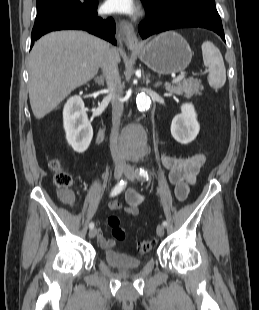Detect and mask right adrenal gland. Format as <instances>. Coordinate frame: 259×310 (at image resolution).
Here are the masks:
<instances>
[{
  "mask_svg": "<svg viewBox=\"0 0 259 310\" xmlns=\"http://www.w3.org/2000/svg\"><path fill=\"white\" fill-rule=\"evenodd\" d=\"M95 82L98 83V85L100 86H104V77L103 76L96 77Z\"/></svg>",
  "mask_w": 259,
  "mask_h": 310,
  "instance_id": "obj_1",
  "label": "right adrenal gland"
}]
</instances>
